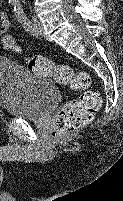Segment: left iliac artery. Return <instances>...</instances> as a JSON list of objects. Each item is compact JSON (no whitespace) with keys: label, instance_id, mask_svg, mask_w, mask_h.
Instances as JSON below:
<instances>
[{"label":"left iliac artery","instance_id":"left-iliac-artery-1","mask_svg":"<svg viewBox=\"0 0 123 201\" xmlns=\"http://www.w3.org/2000/svg\"><path fill=\"white\" fill-rule=\"evenodd\" d=\"M14 12L18 21L22 24L25 31L33 35L34 28L32 26V23L28 19L20 3H17L16 5H14Z\"/></svg>","mask_w":123,"mask_h":201}]
</instances>
